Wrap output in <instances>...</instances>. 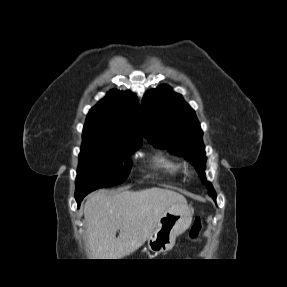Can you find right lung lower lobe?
Here are the masks:
<instances>
[{
    "mask_svg": "<svg viewBox=\"0 0 287 287\" xmlns=\"http://www.w3.org/2000/svg\"><path fill=\"white\" fill-rule=\"evenodd\" d=\"M87 194H88V193H84V194H80L79 196H75L78 205H80L81 201L83 200V198H84Z\"/></svg>",
    "mask_w": 287,
    "mask_h": 287,
    "instance_id": "98d812e1",
    "label": "right lung lower lobe"
}]
</instances>
